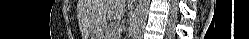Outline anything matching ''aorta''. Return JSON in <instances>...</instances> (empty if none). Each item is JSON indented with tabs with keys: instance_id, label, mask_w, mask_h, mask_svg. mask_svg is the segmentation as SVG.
<instances>
[{
	"instance_id": "1",
	"label": "aorta",
	"mask_w": 249,
	"mask_h": 39,
	"mask_svg": "<svg viewBox=\"0 0 249 39\" xmlns=\"http://www.w3.org/2000/svg\"><path fill=\"white\" fill-rule=\"evenodd\" d=\"M137 7L136 23L132 33L133 39H140L143 34V29L147 19V12L150 5V0H139Z\"/></svg>"
}]
</instances>
